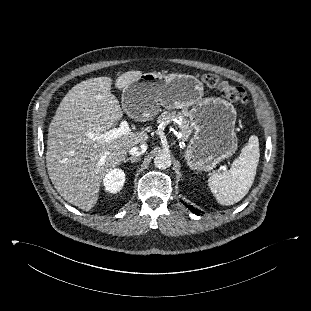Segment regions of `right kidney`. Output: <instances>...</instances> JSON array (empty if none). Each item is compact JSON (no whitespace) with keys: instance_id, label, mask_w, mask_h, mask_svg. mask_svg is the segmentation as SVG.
<instances>
[{"instance_id":"obj_1","label":"right kidney","mask_w":311,"mask_h":311,"mask_svg":"<svg viewBox=\"0 0 311 311\" xmlns=\"http://www.w3.org/2000/svg\"><path fill=\"white\" fill-rule=\"evenodd\" d=\"M125 182V173L123 170L116 168L111 169L106 173L103 179V185L106 192L117 193L119 192Z\"/></svg>"}]
</instances>
